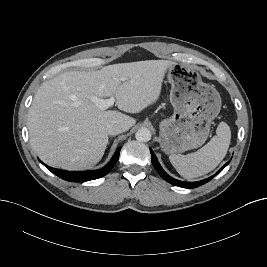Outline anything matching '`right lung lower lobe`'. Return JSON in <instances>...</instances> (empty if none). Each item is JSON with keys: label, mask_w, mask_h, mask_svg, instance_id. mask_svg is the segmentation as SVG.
Here are the masks:
<instances>
[{"label": "right lung lower lobe", "mask_w": 267, "mask_h": 267, "mask_svg": "<svg viewBox=\"0 0 267 267\" xmlns=\"http://www.w3.org/2000/svg\"><path fill=\"white\" fill-rule=\"evenodd\" d=\"M121 147L117 149L115 154L113 155L110 162L104 166L101 169L98 170H90V171H65V170H59L52 167H49L45 164H43L46 168H48L52 173L57 175L58 177L62 178L63 180L69 181V182H85L89 180H94L101 178L105 175H107L111 169L116 164L119 154H120Z\"/></svg>", "instance_id": "obj_1"}]
</instances>
